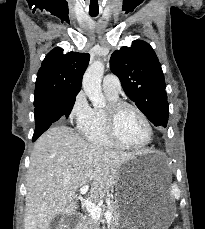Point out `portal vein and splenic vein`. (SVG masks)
I'll use <instances>...</instances> for the list:
<instances>
[{
	"instance_id": "obj_1",
	"label": "portal vein and splenic vein",
	"mask_w": 205,
	"mask_h": 229,
	"mask_svg": "<svg viewBox=\"0 0 205 229\" xmlns=\"http://www.w3.org/2000/svg\"><path fill=\"white\" fill-rule=\"evenodd\" d=\"M88 190H89V186L85 185V186H82L80 188L79 193L81 195H84V194H86L88 192ZM83 205L90 212V216H91V218L93 220L98 221L102 215H104V218L107 221H110L112 219V217H113L112 214L110 212H108V211L102 214L101 208L99 206H97L95 203H93L89 199H83Z\"/></svg>"
}]
</instances>
